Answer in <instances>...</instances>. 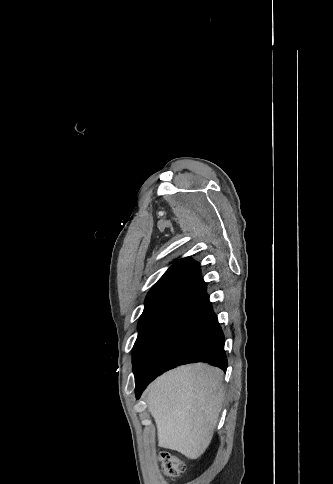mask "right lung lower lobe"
I'll return each instance as SVG.
<instances>
[{
  "label": "right lung lower lobe",
  "instance_id": "98d812e1",
  "mask_svg": "<svg viewBox=\"0 0 333 484\" xmlns=\"http://www.w3.org/2000/svg\"><path fill=\"white\" fill-rule=\"evenodd\" d=\"M224 342L200 277L156 306L134 369L136 397L157 376L181 364L207 362L226 371Z\"/></svg>",
  "mask_w": 333,
  "mask_h": 484
}]
</instances>
